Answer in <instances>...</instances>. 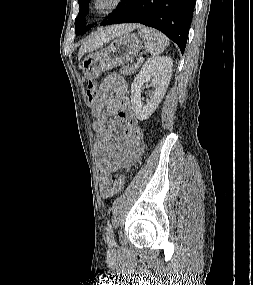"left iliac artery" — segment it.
I'll return each mask as SVG.
<instances>
[{
    "label": "left iliac artery",
    "instance_id": "1",
    "mask_svg": "<svg viewBox=\"0 0 253 285\" xmlns=\"http://www.w3.org/2000/svg\"><path fill=\"white\" fill-rule=\"evenodd\" d=\"M106 237L107 241L110 245H114V235H113V230H112V225L109 223L108 226L106 227Z\"/></svg>",
    "mask_w": 253,
    "mask_h": 285
}]
</instances>
